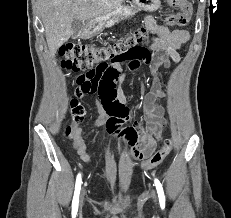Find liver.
<instances>
[{
    "label": "liver",
    "mask_w": 231,
    "mask_h": 218,
    "mask_svg": "<svg viewBox=\"0 0 231 218\" xmlns=\"http://www.w3.org/2000/svg\"><path fill=\"white\" fill-rule=\"evenodd\" d=\"M124 0H38L51 57L73 35L72 21L110 16Z\"/></svg>",
    "instance_id": "liver-1"
}]
</instances>
